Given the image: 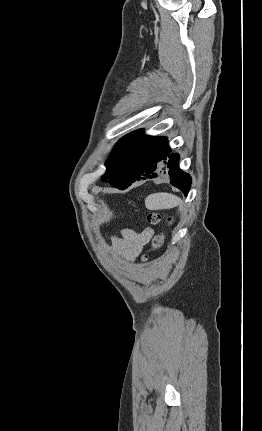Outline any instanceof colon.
<instances>
[{"label":"colon","instance_id":"5ec220e1","mask_svg":"<svg viewBox=\"0 0 262 431\" xmlns=\"http://www.w3.org/2000/svg\"><path fill=\"white\" fill-rule=\"evenodd\" d=\"M160 216L157 213H152L148 216L147 220L150 224H157L159 222ZM163 236L156 235L153 240V249H158L162 246Z\"/></svg>","mask_w":262,"mask_h":431}]
</instances>
